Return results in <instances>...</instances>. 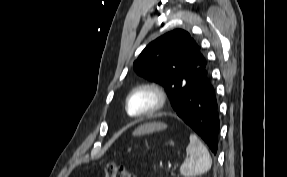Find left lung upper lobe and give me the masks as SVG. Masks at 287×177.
Here are the masks:
<instances>
[{
    "mask_svg": "<svg viewBox=\"0 0 287 177\" xmlns=\"http://www.w3.org/2000/svg\"><path fill=\"white\" fill-rule=\"evenodd\" d=\"M205 69L206 60L200 47L181 29L152 41L134 62L137 74L165 87L173 108Z\"/></svg>",
    "mask_w": 287,
    "mask_h": 177,
    "instance_id": "obj_1",
    "label": "left lung upper lobe"
}]
</instances>
